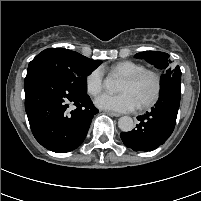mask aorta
Listing matches in <instances>:
<instances>
[{
  "mask_svg": "<svg viewBox=\"0 0 201 201\" xmlns=\"http://www.w3.org/2000/svg\"><path fill=\"white\" fill-rule=\"evenodd\" d=\"M104 87L111 92L119 90V82L113 76H108L104 81ZM118 126L123 132H129L134 128L133 119L129 116H123L118 120Z\"/></svg>",
  "mask_w": 201,
  "mask_h": 201,
  "instance_id": "aorta-1",
  "label": "aorta"
}]
</instances>
